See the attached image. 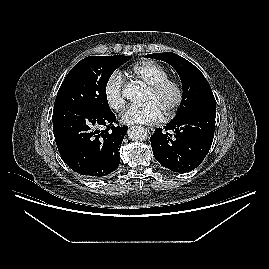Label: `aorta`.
Listing matches in <instances>:
<instances>
[{"label":"aorta","instance_id":"1","mask_svg":"<svg viewBox=\"0 0 269 269\" xmlns=\"http://www.w3.org/2000/svg\"><path fill=\"white\" fill-rule=\"evenodd\" d=\"M122 94L130 101L136 102L142 96V89L137 85H130L123 90ZM128 136L133 141H143L147 139V132L141 126H132L128 130Z\"/></svg>","mask_w":269,"mask_h":269}]
</instances>
